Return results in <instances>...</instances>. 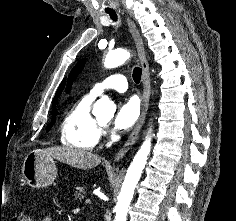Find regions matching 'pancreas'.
I'll return each mask as SVG.
<instances>
[{"label":"pancreas","instance_id":"obj_1","mask_svg":"<svg viewBox=\"0 0 236 221\" xmlns=\"http://www.w3.org/2000/svg\"><path fill=\"white\" fill-rule=\"evenodd\" d=\"M84 194H85V191H84V187H79L77 191H75V199L76 200H82L84 198Z\"/></svg>","mask_w":236,"mask_h":221}]
</instances>
